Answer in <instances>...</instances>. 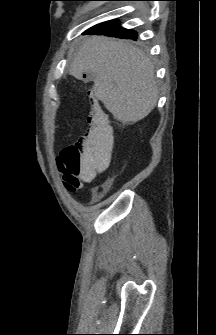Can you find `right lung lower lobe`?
Wrapping results in <instances>:
<instances>
[{
	"mask_svg": "<svg viewBox=\"0 0 216 335\" xmlns=\"http://www.w3.org/2000/svg\"><path fill=\"white\" fill-rule=\"evenodd\" d=\"M85 34H102L111 37L134 40L137 38V33L134 30L122 28L117 20H110L95 25L85 31Z\"/></svg>",
	"mask_w": 216,
	"mask_h": 335,
	"instance_id": "1",
	"label": "right lung lower lobe"
}]
</instances>
